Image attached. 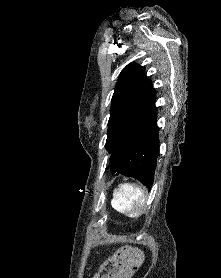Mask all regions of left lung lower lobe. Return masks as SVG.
Segmentation results:
<instances>
[{
	"label": "left lung lower lobe",
	"mask_w": 221,
	"mask_h": 278,
	"mask_svg": "<svg viewBox=\"0 0 221 278\" xmlns=\"http://www.w3.org/2000/svg\"><path fill=\"white\" fill-rule=\"evenodd\" d=\"M156 118L154 97L111 152L110 168L113 174L131 176L138 179L147 188L152 186L159 156Z\"/></svg>",
	"instance_id": "0a47b994"
}]
</instances>
